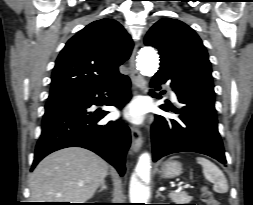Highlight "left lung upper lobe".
Segmentation results:
<instances>
[{"label": "left lung upper lobe", "instance_id": "left-lung-upper-lobe-1", "mask_svg": "<svg viewBox=\"0 0 253 205\" xmlns=\"http://www.w3.org/2000/svg\"><path fill=\"white\" fill-rule=\"evenodd\" d=\"M144 42L159 50L160 65L170 67L194 87L215 97L207 51L188 25L176 19H161L148 31Z\"/></svg>", "mask_w": 253, "mask_h": 205}]
</instances>
